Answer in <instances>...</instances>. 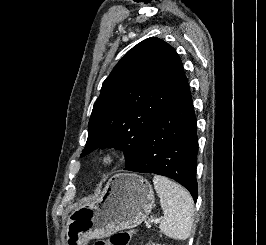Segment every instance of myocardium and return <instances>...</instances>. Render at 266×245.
<instances>
[{
    "label": "myocardium",
    "instance_id": "obj_1",
    "mask_svg": "<svg viewBox=\"0 0 266 245\" xmlns=\"http://www.w3.org/2000/svg\"><path fill=\"white\" fill-rule=\"evenodd\" d=\"M120 160V153L113 148H105L96 152L92 157V165L95 169L107 172L113 169Z\"/></svg>",
    "mask_w": 266,
    "mask_h": 245
}]
</instances>
